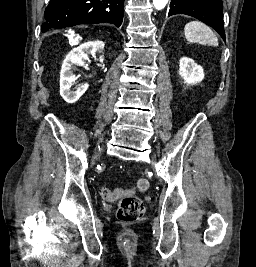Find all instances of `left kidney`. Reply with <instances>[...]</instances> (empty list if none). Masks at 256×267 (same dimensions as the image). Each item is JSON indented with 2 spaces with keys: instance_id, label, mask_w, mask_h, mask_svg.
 <instances>
[{
  "instance_id": "5707ae66",
  "label": "left kidney",
  "mask_w": 256,
  "mask_h": 267,
  "mask_svg": "<svg viewBox=\"0 0 256 267\" xmlns=\"http://www.w3.org/2000/svg\"><path fill=\"white\" fill-rule=\"evenodd\" d=\"M179 74L184 80V84H198L204 78L203 68L195 64L191 58H180Z\"/></svg>"
}]
</instances>
